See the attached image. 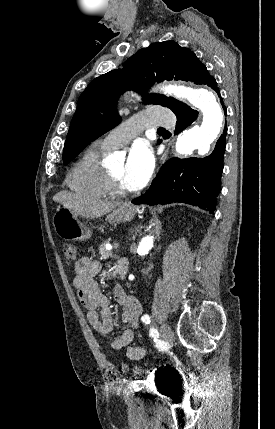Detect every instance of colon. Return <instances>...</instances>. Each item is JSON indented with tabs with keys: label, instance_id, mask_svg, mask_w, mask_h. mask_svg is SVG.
<instances>
[{
	"label": "colon",
	"instance_id": "5ec220e1",
	"mask_svg": "<svg viewBox=\"0 0 275 429\" xmlns=\"http://www.w3.org/2000/svg\"><path fill=\"white\" fill-rule=\"evenodd\" d=\"M64 256L67 262H74L80 254V249L73 243H65L63 246ZM107 378L110 382H115L117 379V371L111 367L107 371Z\"/></svg>",
	"mask_w": 275,
	"mask_h": 429
}]
</instances>
